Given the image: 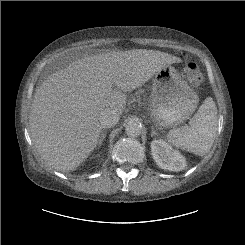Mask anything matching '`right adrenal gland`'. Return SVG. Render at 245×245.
Instances as JSON below:
<instances>
[{
	"instance_id": "obj_1",
	"label": "right adrenal gland",
	"mask_w": 245,
	"mask_h": 245,
	"mask_svg": "<svg viewBox=\"0 0 245 245\" xmlns=\"http://www.w3.org/2000/svg\"><path fill=\"white\" fill-rule=\"evenodd\" d=\"M105 136H106V132L105 129H103L98 143L99 146L102 144L103 140L105 139Z\"/></svg>"
}]
</instances>
